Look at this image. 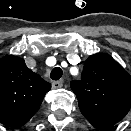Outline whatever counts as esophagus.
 Listing matches in <instances>:
<instances>
[{
  "instance_id": "34e87169",
  "label": "esophagus",
  "mask_w": 131,
  "mask_h": 131,
  "mask_svg": "<svg viewBox=\"0 0 131 131\" xmlns=\"http://www.w3.org/2000/svg\"><path fill=\"white\" fill-rule=\"evenodd\" d=\"M63 86V83L61 82V81H54L53 83H52V88L53 89H59V88H61Z\"/></svg>"
}]
</instances>
